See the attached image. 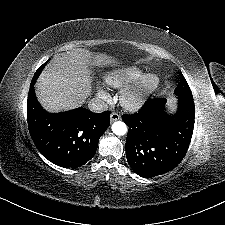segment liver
<instances>
[{
    "label": "liver",
    "mask_w": 225,
    "mask_h": 225,
    "mask_svg": "<svg viewBox=\"0 0 225 225\" xmlns=\"http://www.w3.org/2000/svg\"><path fill=\"white\" fill-rule=\"evenodd\" d=\"M118 61L106 54L65 53L55 56L36 83L38 100L45 109L58 112L78 108L91 95L92 66H115Z\"/></svg>",
    "instance_id": "6515ba94"
}]
</instances>
